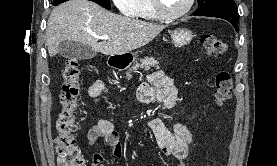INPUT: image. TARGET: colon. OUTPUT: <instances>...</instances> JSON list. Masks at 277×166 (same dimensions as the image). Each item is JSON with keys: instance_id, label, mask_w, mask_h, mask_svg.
<instances>
[{"instance_id": "5ec220e1", "label": "colon", "mask_w": 277, "mask_h": 166, "mask_svg": "<svg viewBox=\"0 0 277 166\" xmlns=\"http://www.w3.org/2000/svg\"><path fill=\"white\" fill-rule=\"evenodd\" d=\"M199 44L210 58L222 56L228 44L214 36L203 35ZM63 85L60 93L61 111L56 121V149L59 166H86L79 147L76 145L74 133L77 130L75 110L81 92V70L77 60L68 59L62 71ZM233 88L232 77L227 71H220L214 78V101L223 106L230 98Z\"/></svg>"}]
</instances>
